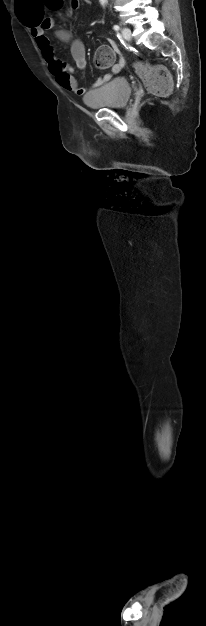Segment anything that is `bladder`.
Masks as SVG:
<instances>
[{
    "mask_svg": "<svg viewBox=\"0 0 206 626\" xmlns=\"http://www.w3.org/2000/svg\"><path fill=\"white\" fill-rule=\"evenodd\" d=\"M131 94L132 88L128 80L115 77L85 94L83 102L91 109H121L128 104Z\"/></svg>",
    "mask_w": 206,
    "mask_h": 626,
    "instance_id": "bladder-1",
    "label": "bladder"
}]
</instances>
